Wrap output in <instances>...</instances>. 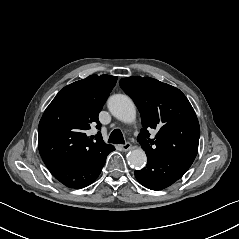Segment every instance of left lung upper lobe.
Instances as JSON below:
<instances>
[{"mask_svg":"<svg viewBox=\"0 0 239 239\" xmlns=\"http://www.w3.org/2000/svg\"><path fill=\"white\" fill-rule=\"evenodd\" d=\"M121 88L133 99L141 113L138 141L147 155H183L196 157L200 137L197 116L177 88L150 77H127ZM159 129L150 139L149 129Z\"/></svg>","mask_w":239,"mask_h":239,"instance_id":"obj_1","label":"left lung upper lobe"}]
</instances>
